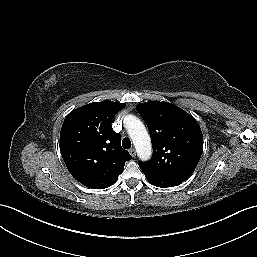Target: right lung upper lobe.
<instances>
[{
  "label": "right lung upper lobe",
  "instance_id": "cb5924a9",
  "mask_svg": "<svg viewBox=\"0 0 257 257\" xmlns=\"http://www.w3.org/2000/svg\"><path fill=\"white\" fill-rule=\"evenodd\" d=\"M123 103H90L70 112L60 132V150L70 174L93 189L107 188L123 172L131 159L121 147L120 134L111 121Z\"/></svg>",
  "mask_w": 257,
  "mask_h": 257
}]
</instances>
